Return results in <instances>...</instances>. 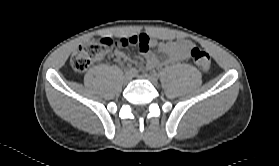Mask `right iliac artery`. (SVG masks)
Segmentation results:
<instances>
[{
	"label": "right iliac artery",
	"instance_id": "1",
	"mask_svg": "<svg viewBox=\"0 0 279 166\" xmlns=\"http://www.w3.org/2000/svg\"><path fill=\"white\" fill-rule=\"evenodd\" d=\"M128 73L132 74L133 76L137 74V69L136 68H130L128 71Z\"/></svg>",
	"mask_w": 279,
	"mask_h": 166
}]
</instances>
